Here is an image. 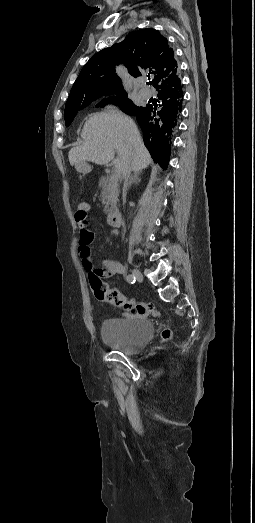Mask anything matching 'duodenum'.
Here are the masks:
<instances>
[{
    "mask_svg": "<svg viewBox=\"0 0 255 523\" xmlns=\"http://www.w3.org/2000/svg\"><path fill=\"white\" fill-rule=\"evenodd\" d=\"M107 223L112 227H119L121 224V213L118 210L110 212L107 216Z\"/></svg>",
    "mask_w": 255,
    "mask_h": 523,
    "instance_id": "410a0bca",
    "label": "duodenum"
}]
</instances>
